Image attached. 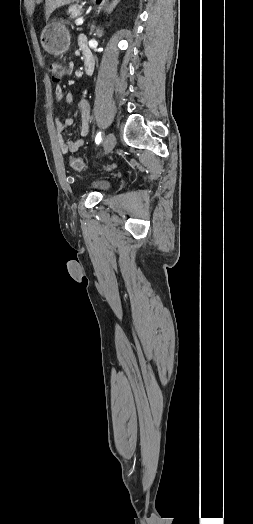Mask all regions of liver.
<instances>
[{
	"mask_svg": "<svg viewBox=\"0 0 253 524\" xmlns=\"http://www.w3.org/2000/svg\"><path fill=\"white\" fill-rule=\"evenodd\" d=\"M77 0H46L45 1V15H46V19L49 18V16L51 15V13L61 7V6H64V5H67V4H70V3H73Z\"/></svg>",
	"mask_w": 253,
	"mask_h": 524,
	"instance_id": "1",
	"label": "liver"
}]
</instances>
